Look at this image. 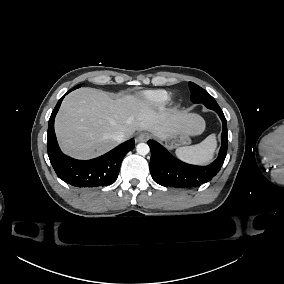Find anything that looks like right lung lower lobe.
Here are the masks:
<instances>
[{
	"label": "right lung lower lobe",
	"instance_id": "1",
	"mask_svg": "<svg viewBox=\"0 0 284 284\" xmlns=\"http://www.w3.org/2000/svg\"><path fill=\"white\" fill-rule=\"evenodd\" d=\"M63 98L64 96L58 101L50 116L47 135L48 156L57 176L75 187L93 188L111 185L118 177L122 159L134 148V139L91 160H76L64 155L58 146L54 131L55 116Z\"/></svg>",
	"mask_w": 284,
	"mask_h": 284
}]
</instances>
